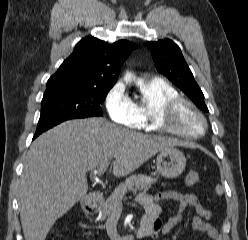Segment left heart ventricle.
I'll use <instances>...</instances> for the list:
<instances>
[{
    "label": "left heart ventricle",
    "mask_w": 248,
    "mask_h": 240,
    "mask_svg": "<svg viewBox=\"0 0 248 240\" xmlns=\"http://www.w3.org/2000/svg\"><path fill=\"white\" fill-rule=\"evenodd\" d=\"M176 126L181 130L193 134H198L203 130L202 120L187 106L179 110L176 118Z\"/></svg>",
    "instance_id": "b2bd125f"
}]
</instances>
